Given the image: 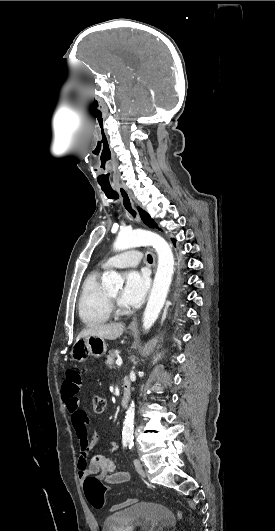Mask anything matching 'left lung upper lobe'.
I'll use <instances>...</instances> for the list:
<instances>
[{
	"label": "left lung upper lobe",
	"instance_id": "5c2ea615",
	"mask_svg": "<svg viewBox=\"0 0 275 531\" xmlns=\"http://www.w3.org/2000/svg\"><path fill=\"white\" fill-rule=\"evenodd\" d=\"M138 211L140 212V216L143 220V222L148 225L149 227H155L157 228L156 223L153 221V219L149 216L148 213L143 211L142 209L138 208Z\"/></svg>",
	"mask_w": 275,
	"mask_h": 531
}]
</instances>
